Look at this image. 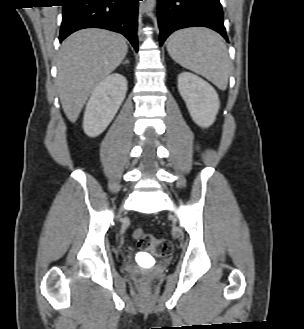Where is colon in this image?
I'll return each mask as SVG.
<instances>
[{
	"instance_id": "5ec220e1",
	"label": "colon",
	"mask_w": 304,
	"mask_h": 329,
	"mask_svg": "<svg viewBox=\"0 0 304 329\" xmlns=\"http://www.w3.org/2000/svg\"><path fill=\"white\" fill-rule=\"evenodd\" d=\"M138 245L155 257H167L172 252V243L167 238L156 237L151 233L137 228L133 233Z\"/></svg>"
}]
</instances>
